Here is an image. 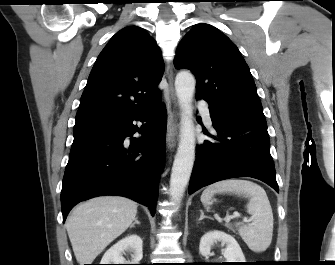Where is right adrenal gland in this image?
<instances>
[{
  "mask_svg": "<svg viewBox=\"0 0 335 265\" xmlns=\"http://www.w3.org/2000/svg\"><path fill=\"white\" fill-rule=\"evenodd\" d=\"M135 224L140 225V222L138 221L137 218H135V220H134L133 224H131L130 228L135 227Z\"/></svg>",
  "mask_w": 335,
  "mask_h": 265,
  "instance_id": "obj_1",
  "label": "right adrenal gland"
}]
</instances>
